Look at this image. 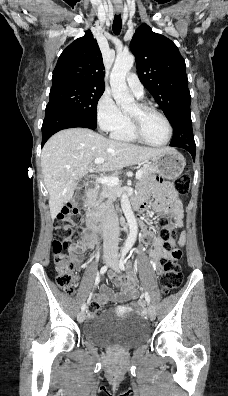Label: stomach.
I'll list each match as a JSON object with an SVG mask.
<instances>
[{"instance_id": "stomach-1", "label": "stomach", "mask_w": 228, "mask_h": 396, "mask_svg": "<svg viewBox=\"0 0 228 396\" xmlns=\"http://www.w3.org/2000/svg\"><path fill=\"white\" fill-rule=\"evenodd\" d=\"M152 165L156 168V172L166 179L177 178L184 170L186 165L184 157L174 149L151 158Z\"/></svg>"}]
</instances>
